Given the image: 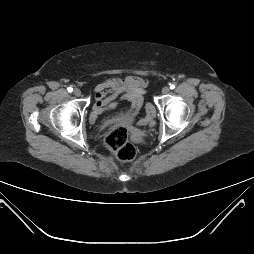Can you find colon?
<instances>
[{
    "mask_svg": "<svg viewBox=\"0 0 254 254\" xmlns=\"http://www.w3.org/2000/svg\"><path fill=\"white\" fill-rule=\"evenodd\" d=\"M105 146L121 162H130L135 158L136 150L125 126L114 127L105 138Z\"/></svg>",
    "mask_w": 254,
    "mask_h": 254,
    "instance_id": "obj_1",
    "label": "colon"
}]
</instances>
